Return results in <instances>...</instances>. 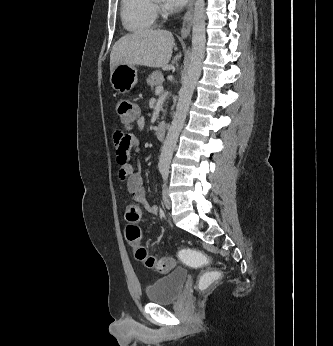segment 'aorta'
I'll list each match as a JSON object with an SVG mask.
<instances>
[{"instance_id":"aorta-1","label":"aorta","mask_w":333,"mask_h":346,"mask_svg":"<svg viewBox=\"0 0 333 346\" xmlns=\"http://www.w3.org/2000/svg\"><path fill=\"white\" fill-rule=\"evenodd\" d=\"M205 19V1L195 0L192 20V52L190 65L179 92L176 113L164 141L158 165L160 169L169 168L179 134L189 110L193 92L201 75L206 44Z\"/></svg>"}]
</instances>
